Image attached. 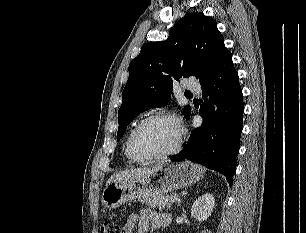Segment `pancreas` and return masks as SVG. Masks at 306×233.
<instances>
[{
    "instance_id": "pancreas-1",
    "label": "pancreas",
    "mask_w": 306,
    "mask_h": 233,
    "mask_svg": "<svg viewBox=\"0 0 306 233\" xmlns=\"http://www.w3.org/2000/svg\"><path fill=\"white\" fill-rule=\"evenodd\" d=\"M176 197L177 194L161 195L154 198H148L144 200V203H146L150 208H159L160 210L165 208L169 209L174 203L173 199Z\"/></svg>"
}]
</instances>
